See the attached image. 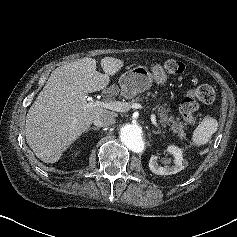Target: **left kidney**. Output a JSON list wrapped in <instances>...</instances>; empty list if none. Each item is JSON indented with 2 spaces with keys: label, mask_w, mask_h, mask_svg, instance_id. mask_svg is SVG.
Instances as JSON below:
<instances>
[{
  "label": "left kidney",
  "mask_w": 237,
  "mask_h": 237,
  "mask_svg": "<svg viewBox=\"0 0 237 237\" xmlns=\"http://www.w3.org/2000/svg\"><path fill=\"white\" fill-rule=\"evenodd\" d=\"M167 152L172 155L174 164L172 166L167 165L165 167H162L158 164V156L153 155L151 156L149 161V168L153 173L158 175H170L176 174L184 169L185 166L181 149L177 146L170 145L167 149ZM162 163L165 165L170 164L171 160L165 158L164 160H162Z\"/></svg>",
  "instance_id": "obj_1"
}]
</instances>
